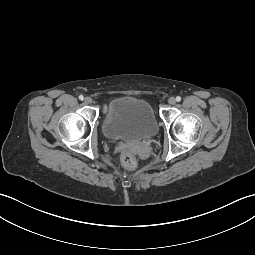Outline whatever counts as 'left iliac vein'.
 <instances>
[{
    "instance_id": "obj_1",
    "label": "left iliac vein",
    "mask_w": 255,
    "mask_h": 255,
    "mask_svg": "<svg viewBox=\"0 0 255 255\" xmlns=\"http://www.w3.org/2000/svg\"><path fill=\"white\" fill-rule=\"evenodd\" d=\"M168 103L174 105L176 103V99L174 97H170Z\"/></svg>"
}]
</instances>
